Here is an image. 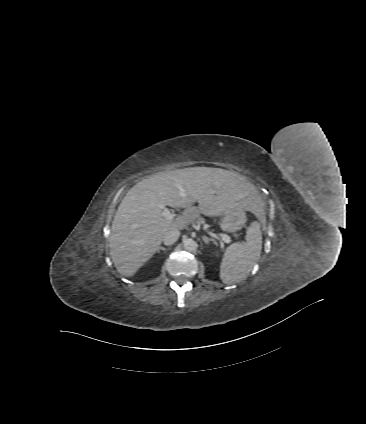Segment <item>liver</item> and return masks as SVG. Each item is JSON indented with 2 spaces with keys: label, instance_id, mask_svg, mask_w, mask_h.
<instances>
[{
  "label": "liver",
  "instance_id": "1",
  "mask_svg": "<svg viewBox=\"0 0 366 424\" xmlns=\"http://www.w3.org/2000/svg\"><path fill=\"white\" fill-rule=\"evenodd\" d=\"M161 205L185 209L167 220ZM263 206L255 186L234 172L209 167L160 172L135 184L120 203L111 227V259L120 274L131 277L168 231L187 228L201 214L216 217L247 210L263 215Z\"/></svg>",
  "mask_w": 366,
  "mask_h": 424
}]
</instances>
